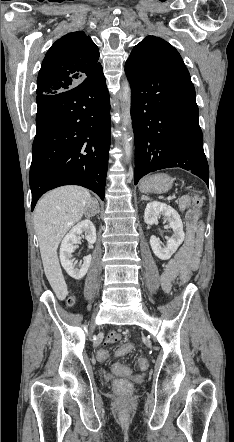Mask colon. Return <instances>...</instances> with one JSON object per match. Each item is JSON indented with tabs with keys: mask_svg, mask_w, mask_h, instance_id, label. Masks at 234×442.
<instances>
[{
	"mask_svg": "<svg viewBox=\"0 0 234 442\" xmlns=\"http://www.w3.org/2000/svg\"><path fill=\"white\" fill-rule=\"evenodd\" d=\"M204 204V196L201 193H196L192 199V209L191 213L195 214L202 208ZM191 241H194L195 246V252L191 256V263L189 269L185 270L181 275V282L183 284L188 283V281L191 278L192 273L197 272V268L200 267V264L203 263V258L199 256L201 253V232H200V226L198 225L197 230L195 227V230L192 233ZM74 304V298L70 297L67 300L68 306H73ZM132 350L131 343L130 342H123L122 344L118 345L117 348H107L102 347L99 350L96 351L97 359L101 362H106L110 359V357L113 355L115 357H121L122 355H126L128 352ZM137 366L140 369H143L146 367V359L143 356L138 357L137 359ZM112 371L116 375H129L131 372V369L129 366L124 365L120 362H115L112 365ZM113 388L117 389L121 393L127 392L129 389L133 388V381L132 380H114L113 381Z\"/></svg>",
	"mask_w": 234,
	"mask_h": 442,
	"instance_id": "1",
	"label": "colon"
}]
</instances>
